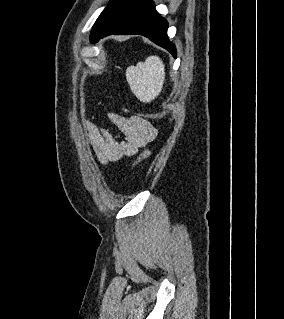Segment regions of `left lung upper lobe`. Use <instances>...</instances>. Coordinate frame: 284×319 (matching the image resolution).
Instances as JSON below:
<instances>
[{
  "instance_id": "5c2ea615",
  "label": "left lung upper lobe",
  "mask_w": 284,
  "mask_h": 319,
  "mask_svg": "<svg viewBox=\"0 0 284 319\" xmlns=\"http://www.w3.org/2000/svg\"><path fill=\"white\" fill-rule=\"evenodd\" d=\"M123 2L124 0H114L102 11L92 28L90 35L91 42H93L99 32L108 24Z\"/></svg>"
}]
</instances>
